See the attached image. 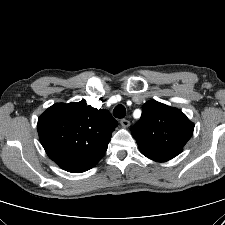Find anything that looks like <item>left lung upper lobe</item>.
Listing matches in <instances>:
<instances>
[{"label": "left lung upper lobe", "mask_w": 225, "mask_h": 225, "mask_svg": "<svg viewBox=\"0 0 225 225\" xmlns=\"http://www.w3.org/2000/svg\"><path fill=\"white\" fill-rule=\"evenodd\" d=\"M139 122L131 128L141 153L166 162L182 152L191 138L194 124L177 108L155 100L143 104Z\"/></svg>", "instance_id": "5c2ea615"}]
</instances>
